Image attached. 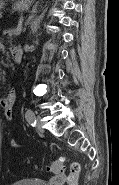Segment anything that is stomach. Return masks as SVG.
I'll use <instances>...</instances> for the list:
<instances>
[{
	"mask_svg": "<svg viewBox=\"0 0 119 185\" xmlns=\"http://www.w3.org/2000/svg\"><path fill=\"white\" fill-rule=\"evenodd\" d=\"M31 4V0H20L19 3L16 5V9L20 11L27 10ZM1 16V14H0Z\"/></svg>",
	"mask_w": 119,
	"mask_h": 185,
	"instance_id": "stomach-1",
	"label": "stomach"
}]
</instances>
